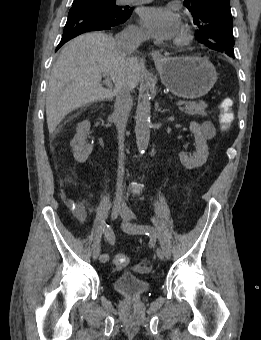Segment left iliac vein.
I'll use <instances>...</instances> for the list:
<instances>
[{
	"label": "left iliac vein",
	"mask_w": 261,
	"mask_h": 340,
	"mask_svg": "<svg viewBox=\"0 0 261 340\" xmlns=\"http://www.w3.org/2000/svg\"><path fill=\"white\" fill-rule=\"evenodd\" d=\"M121 217H122V220H123L122 228H123L124 231H126L128 233H133V234H141L142 233L140 231H132L128 228V224H130V221H131L133 215H132V212L127 207H124L121 210ZM156 253H157V256L160 260H163L165 258V254H164V252L161 248H157Z\"/></svg>",
	"instance_id": "1"
}]
</instances>
